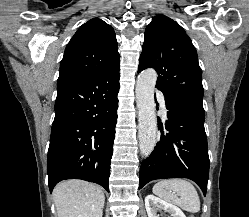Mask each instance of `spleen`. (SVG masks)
I'll return each instance as SVG.
<instances>
[{
    "instance_id": "obj_1",
    "label": "spleen",
    "mask_w": 249,
    "mask_h": 217,
    "mask_svg": "<svg viewBox=\"0 0 249 217\" xmlns=\"http://www.w3.org/2000/svg\"><path fill=\"white\" fill-rule=\"evenodd\" d=\"M171 190H173V193ZM153 193L188 212L196 213L200 210V199L197 190L185 179L161 180L154 185Z\"/></svg>"
}]
</instances>
